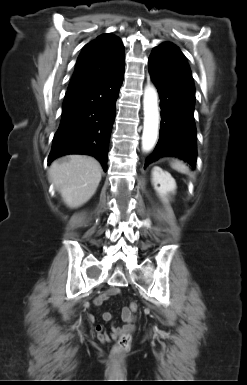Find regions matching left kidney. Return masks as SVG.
<instances>
[{"label":"left kidney","mask_w":247,"mask_h":385,"mask_svg":"<svg viewBox=\"0 0 247 385\" xmlns=\"http://www.w3.org/2000/svg\"><path fill=\"white\" fill-rule=\"evenodd\" d=\"M152 183L154 189L161 197H166L169 193H174L176 190L174 178L158 166H155L152 170Z\"/></svg>","instance_id":"left-kidney-1"}]
</instances>
